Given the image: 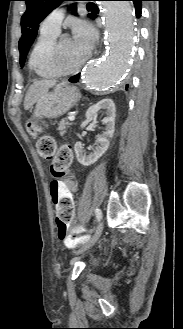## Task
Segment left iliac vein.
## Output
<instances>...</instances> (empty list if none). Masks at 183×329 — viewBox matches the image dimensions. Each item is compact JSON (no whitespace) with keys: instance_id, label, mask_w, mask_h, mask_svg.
<instances>
[{"instance_id":"4c4485c4","label":"left iliac vein","mask_w":183,"mask_h":329,"mask_svg":"<svg viewBox=\"0 0 183 329\" xmlns=\"http://www.w3.org/2000/svg\"><path fill=\"white\" fill-rule=\"evenodd\" d=\"M103 227H104L103 222L100 221L96 227L93 237L90 239V241L86 245H84L79 251H77L76 254H80V253L86 251L87 249H89L90 247H92L96 243L98 238L100 237V235L103 231Z\"/></svg>"}]
</instances>
